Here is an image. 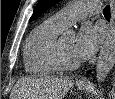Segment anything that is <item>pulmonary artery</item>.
Instances as JSON below:
<instances>
[{"label": "pulmonary artery", "mask_w": 115, "mask_h": 99, "mask_svg": "<svg viewBox=\"0 0 115 99\" xmlns=\"http://www.w3.org/2000/svg\"><path fill=\"white\" fill-rule=\"evenodd\" d=\"M100 12L98 1H78L56 12L50 19L61 27H68L78 19Z\"/></svg>", "instance_id": "1"}]
</instances>
